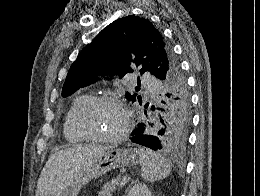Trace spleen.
<instances>
[{
	"instance_id": "1",
	"label": "spleen",
	"mask_w": 260,
	"mask_h": 196,
	"mask_svg": "<svg viewBox=\"0 0 260 196\" xmlns=\"http://www.w3.org/2000/svg\"><path fill=\"white\" fill-rule=\"evenodd\" d=\"M138 162L141 168L142 178L147 182H157V180H164L171 172V164L165 160L160 154L148 150V148H141L139 150Z\"/></svg>"
}]
</instances>
